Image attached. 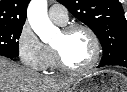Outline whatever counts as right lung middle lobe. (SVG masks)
<instances>
[{"instance_id": "obj_1", "label": "right lung middle lobe", "mask_w": 127, "mask_h": 92, "mask_svg": "<svg viewBox=\"0 0 127 92\" xmlns=\"http://www.w3.org/2000/svg\"><path fill=\"white\" fill-rule=\"evenodd\" d=\"M22 26H0V54L18 57Z\"/></svg>"}]
</instances>
